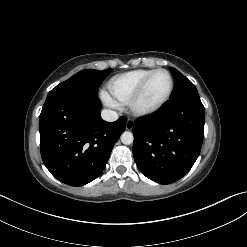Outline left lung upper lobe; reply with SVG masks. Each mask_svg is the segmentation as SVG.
<instances>
[{
    "instance_id": "5c2ea615",
    "label": "left lung upper lobe",
    "mask_w": 247,
    "mask_h": 247,
    "mask_svg": "<svg viewBox=\"0 0 247 247\" xmlns=\"http://www.w3.org/2000/svg\"><path fill=\"white\" fill-rule=\"evenodd\" d=\"M170 71L175 80V90L171 97V100L192 96V95H199L196 87L194 84L188 80L183 74H181L178 70L171 67Z\"/></svg>"
}]
</instances>
